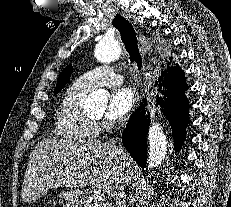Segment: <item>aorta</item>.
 Here are the masks:
<instances>
[{
	"instance_id": "obj_1",
	"label": "aorta",
	"mask_w": 231,
	"mask_h": 207,
	"mask_svg": "<svg viewBox=\"0 0 231 207\" xmlns=\"http://www.w3.org/2000/svg\"><path fill=\"white\" fill-rule=\"evenodd\" d=\"M122 48L118 41L115 39H101L94 51L95 58L98 62L108 63L119 59L121 56ZM107 103V94L104 91L92 92L87 98H85L83 104L87 108H94L96 106L104 107ZM148 139L150 143V152L147 159L148 167L153 169L157 168L163 162L166 156V137L162 128L158 123H152L149 132Z\"/></svg>"
}]
</instances>
